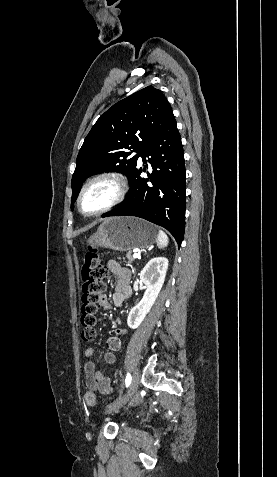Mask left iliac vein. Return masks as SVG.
<instances>
[{
    "label": "left iliac vein",
    "instance_id": "4c4485c4",
    "mask_svg": "<svg viewBox=\"0 0 277 477\" xmlns=\"http://www.w3.org/2000/svg\"><path fill=\"white\" fill-rule=\"evenodd\" d=\"M139 381H140V372L138 369H136L133 373L132 381L126 394L123 395L114 403H112L111 405H109L105 413L109 414V413L115 412L119 410L120 408H122L123 406H125L130 401V399L134 396L135 392L137 391Z\"/></svg>",
    "mask_w": 277,
    "mask_h": 477
}]
</instances>
